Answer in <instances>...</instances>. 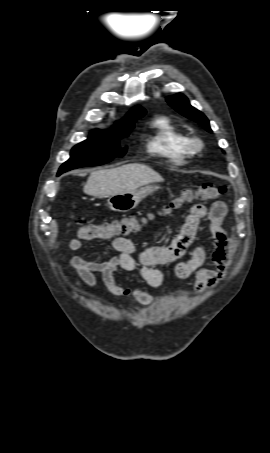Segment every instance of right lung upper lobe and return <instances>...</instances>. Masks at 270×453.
<instances>
[{"instance_id":"1","label":"right lung upper lobe","mask_w":270,"mask_h":453,"mask_svg":"<svg viewBox=\"0 0 270 453\" xmlns=\"http://www.w3.org/2000/svg\"><path fill=\"white\" fill-rule=\"evenodd\" d=\"M145 112V109H143L142 107L138 106L133 108L121 121L116 122V125L113 127V129H126L134 125V122L144 116Z\"/></svg>"}]
</instances>
